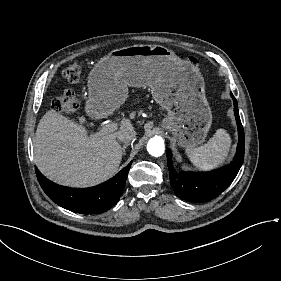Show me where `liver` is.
Wrapping results in <instances>:
<instances>
[{"mask_svg": "<svg viewBox=\"0 0 281 281\" xmlns=\"http://www.w3.org/2000/svg\"><path fill=\"white\" fill-rule=\"evenodd\" d=\"M123 131L132 129L122 121ZM117 133L90 134L84 126L54 111L39 121L34 140L35 164L51 181L72 188H88L109 180L119 167Z\"/></svg>", "mask_w": 281, "mask_h": 281, "instance_id": "obj_1", "label": "liver"}]
</instances>
